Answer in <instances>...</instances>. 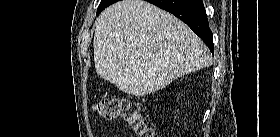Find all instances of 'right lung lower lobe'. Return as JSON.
<instances>
[{"label":"right lung lower lobe","mask_w":280,"mask_h":137,"mask_svg":"<svg viewBox=\"0 0 280 137\" xmlns=\"http://www.w3.org/2000/svg\"><path fill=\"white\" fill-rule=\"evenodd\" d=\"M185 22L213 53V34L208 25L202 0H146Z\"/></svg>","instance_id":"obj_1"}]
</instances>
